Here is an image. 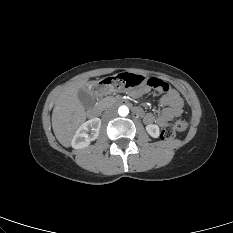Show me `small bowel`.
Instances as JSON below:
<instances>
[{"label":"small bowel","mask_w":233,"mask_h":233,"mask_svg":"<svg viewBox=\"0 0 233 233\" xmlns=\"http://www.w3.org/2000/svg\"><path fill=\"white\" fill-rule=\"evenodd\" d=\"M149 91V86H144L138 90L133 91L131 94L134 97L141 96ZM162 92L163 95L160 98V103L165 107L162 112L155 116L152 113H147L143 116L146 124H156L160 127L165 126L168 122L173 120L182 114L183 111V101L179 94L172 88H168L166 91ZM142 114V110L140 112Z\"/></svg>","instance_id":"obj_1"}]
</instances>
